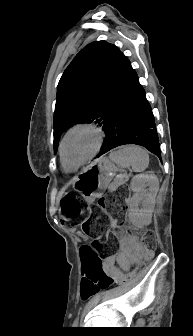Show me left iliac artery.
Returning a JSON list of instances; mask_svg holds the SVG:
<instances>
[{
	"label": "left iliac artery",
	"mask_w": 193,
	"mask_h": 336,
	"mask_svg": "<svg viewBox=\"0 0 193 336\" xmlns=\"http://www.w3.org/2000/svg\"><path fill=\"white\" fill-rule=\"evenodd\" d=\"M77 325H78V318H76V319L74 320V322H73V327H77Z\"/></svg>",
	"instance_id": "left-iliac-artery-1"
}]
</instances>
